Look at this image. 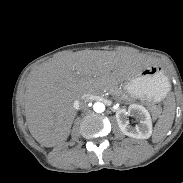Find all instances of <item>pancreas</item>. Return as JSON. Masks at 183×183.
<instances>
[{"mask_svg": "<svg viewBox=\"0 0 183 183\" xmlns=\"http://www.w3.org/2000/svg\"><path fill=\"white\" fill-rule=\"evenodd\" d=\"M119 93H122V91H119ZM122 99H124V97H122Z\"/></svg>", "mask_w": 183, "mask_h": 183, "instance_id": "obj_1", "label": "pancreas"}]
</instances>
